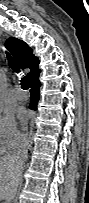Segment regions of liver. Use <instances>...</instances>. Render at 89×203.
<instances>
[{
	"mask_svg": "<svg viewBox=\"0 0 89 203\" xmlns=\"http://www.w3.org/2000/svg\"><path fill=\"white\" fill-rule=\"evenodd\" d=\"M18 162L14 156H3L0 158V198L9 200L13 197L19 173Z\"/></svg>",
	"mask_w": 89,
	"mask_h": 203,
	"instance_id": "obj_1",
	"label": "liver"
}]
</instances>
